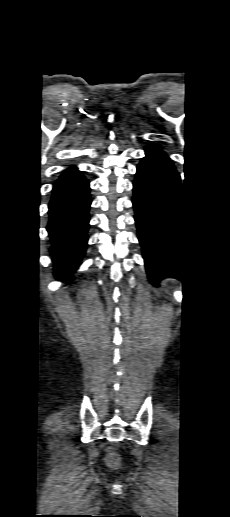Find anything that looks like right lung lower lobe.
Masks as SVG:
<instances>
[{"mask_svg": "<svg viewBox=\"0 0 230 517\" xmlns=\"http://www.w3.org/2000/svg\"><path fill=\"white\" fill-rule=\"evenodd\" d=\"M89 181L76 167L68 168L53 186L49 203V233L55 276L67 279L80 265L87 246Z\"/></svg>", "mask_w": 230, "mask_h": 517, "instance_id": "1", "label": "right lung lower lobe"}]
</instances>
